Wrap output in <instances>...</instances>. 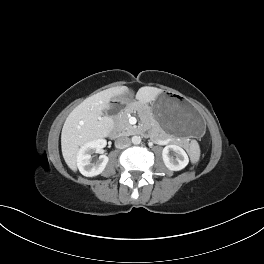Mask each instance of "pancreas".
<instances>
[{
	"label": "pancreas",
	"instance_id": "obj_1",
	"mask_svg": "<svg viewBox=\"0 0 264 264\" xmlns=\"http://www.w3.org/2000/svg\"><path fill=\"white\" fill-rule=\"evenodd\" d=\"M134 108L135 105L131 104L125 111L120 112L115 118L116 127L125 134H131L135 130V127L128 121V114L132 113ZM154 136L157 137V134H154Z\"/></svg>",
	"mask_w": 264,
	"mask_h": 264
}]
</instances>
